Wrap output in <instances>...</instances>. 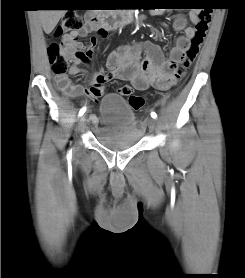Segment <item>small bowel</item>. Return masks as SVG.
<instances>
[{
    "label": "small bowel",
    "instance_id": "obj_1",
    "mask_svg": "<svg viewBox=\"0 0 245 278\" xmlns=\"http://www.w3.org/2000/svg\"><path fill=\"white\" fill-rule=\"evenodd\" d=\"M153 11L157 12L158 10L155 9ZM190 19L195 23L197 20L196 14L191 13ZM173 29L175 31L183 30L185 34L179 36L174 46L168 51L155 42L146 41L135 47L122 46L111 52L107 60V71L95 70L92 74L87 75L88 81L93 83L90 88H86L82 84H73L69 76H74L81 72L80 64L92 69V49L106 37L107 31L103 28H97L94 24L84 27L79 32L64 35L62 42L84 50L87 53V58L84 61L71 62L67 73L62 78L56 77L59 89L66 95H71L76 90H83L92 100H96L103 95L105 91L103 85L109 81H130L132 86L139 91L147 90L150 87L165 89L173 81L172 75L168 72L170 65L183 61L195 34V29L187 26L186 18L183 16H178L174 20ZM90 31H94L95 34L90 36L87 45L77 41L78 37H87ZM141 49L147 52V57L142 62L139 61ZM63 80L67 83H63Z\"/></svg>",
    "mask_w": 245,
    "mask_h": 278
}]
</instances>
